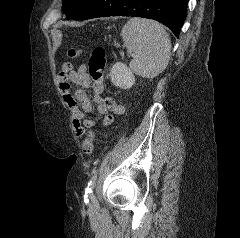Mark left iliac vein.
Wrapping results in <instances>:
<instances>
[{"label": "left iliac vein", "mask_w": 240, "mask_h": 238, "mask_svg": "<svg viewBox=\"0 0 240 238\" xmlns=\"http://www.w3.org/2000/svg\"><path fill=\"white\" fill-rule=\"evenodd\" d=\"M95 207H96V200L92 195H90V209H95Z\"/></svg>", "instance_id": "4c4485c4"}]
</instances>
